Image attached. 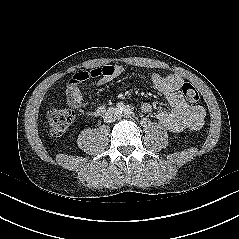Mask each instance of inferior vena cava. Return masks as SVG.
<instances>
[{"label":"inferior vena cava","mask_w":239,"mask_h":239,"mask_svg":"<svg viewBox=\"0 0 239 239\" xmlns=\"http://www.w3.org/2000/svg\"><path fill=\"white\" fill-rule=\"evenodd\" d=\"M120 113L116 108H109L103 115L104 122L111 123L119 119Z\"/></svg>","instance_id":"obj_1"}]
</instances>
